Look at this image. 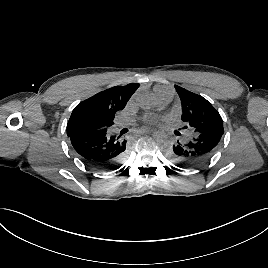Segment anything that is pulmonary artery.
Masks as SVG:
<instances>
[{"label": "pulmonary artery", "mask_w": 268, "mask_h": 268, "mask_svg": "<svg viewBox=\"0 0 268 268\" xmlns=\"http://www.w3.org/2000/svg\"><path fill=\"white\" fill-rule=\"evenodd\" d=\"M173 94L169 91L158 90L155 94V104L157 106H165L172 100ZM127 124V120H121L117 123V128L125 126Z\"/></svg>", "instance_id": "1"}]
</instances>
